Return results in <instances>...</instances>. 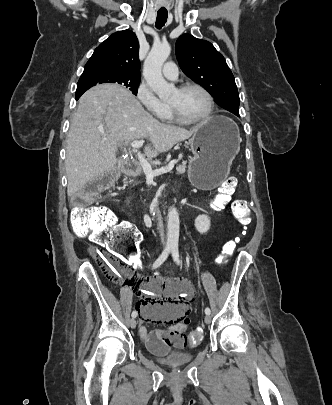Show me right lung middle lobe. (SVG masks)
<instances>
[{"label": "right lung middle lobe", "instance_id": "1", "mask_svg": "<svg viewBox=\"0 0 332 405\" xmlns=\"http://www.w3.org/2000/svg\"><path fill=\"white\" fill-rule=\"evenodd\" d=\"M102 83L120 84L132 91L134 95H137L140 77H132L122 72L110 70L83 72L77 84L76 94L84 93L92 86Z\"/></svg>", "mask_w": 332, "mask_h": 405}]
</instances>
